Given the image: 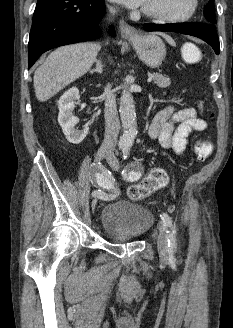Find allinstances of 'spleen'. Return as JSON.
I'll return each instance as SVG.
<instances>
[{"label": "spleen", "mask_w": 233, "mask_h": 328, "mask_svg": "<svg viewBox=\"0 0 233 328\" xmlns=\"http://www.w3.org/2000/svg\"><path fill=\"white\" fill-rule=\"evenodd\" d=\"M190 48L194 51V53H195L196 55H198V50H197V48H196L193 44H191V43H187V44L184 46V49H190Z\"/></svg>", "instance_id": "spleen-1"}]
</instances>
